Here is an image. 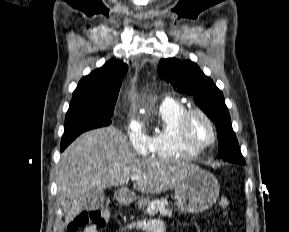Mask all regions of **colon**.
Here are the masks:
<instances>
[{
  "instance_id": "obj_1",
  "label": "colon",
  "mask_w": 289,
  "mask_h": 232,
  "mask_svg": "<svg viewBox=\"0 0 289 232\" xmlns=\"http://www.w3.org/2000/svg\"><path fill=\"white\" fill-rule=\"evenodd\" d=\"M221 209L225 210L229 206V200L226 197H221L218 202ZM110 211L107 206L100 209L83 211L79 213L68 226V232H78L80 229L89 225L102 227L109 219Z\"/></svg>"
}]
</instances>
